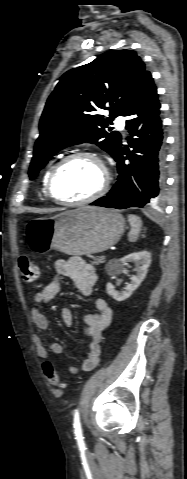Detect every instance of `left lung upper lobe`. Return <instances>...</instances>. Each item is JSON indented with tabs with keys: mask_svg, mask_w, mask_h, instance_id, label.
Listing matches in <instances>:
<instances>
[{
	"mask_svg": "<svg viewBox=\"0 0 187 479\" xmlns=\"http://www.w3.org/2000/svg\"><path fill=\"white\" fill-rule=\"evenodd\" d=\"M150 75L132 50H111L66 72L43 111L30 179L59 150L75 144L95 143L115 158L121 148L120 135L105 129L114 117L126 115ZM103 110H109L110 117Z\"/></svg>",
	"mask_w": 187,
	"mask_h": 479,
	"instance_id": "left-lung-upper-lobe-1",
	"label": "left lung upper lobe"
}]
</instances>
